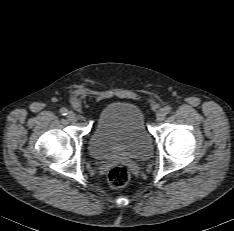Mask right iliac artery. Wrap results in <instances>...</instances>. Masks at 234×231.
<instances>
[{"label": "right iliac artery", "instance_id": "obj_1", "mask_svg": "<svg viewBox=\"0 0 234 231\" xmlns=\"http://www.w3.org/2000/svg\"><path fill=\"white\" fill-rule=\"evenodd\" d=\"M60 113H61L62 115H67V114H68V110H67L66 108H61V109H60Z\"/></svg>", "mask_w": 234, "mask_h": 231}]
</instances>
